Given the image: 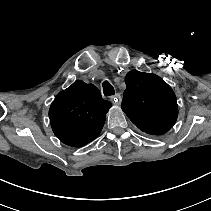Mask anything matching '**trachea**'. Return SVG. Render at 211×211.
I'll use <instances>...</instances> for the list:
<instances>
[{
    "label": "trachea",
    "instance_id": "1",
    "mask_svg": "<svg viewBox=\"0 0 211 211\" xmlns=\"http://www.w3.org/2000/svg\"><path fill=\"white\" fill-rule=\"evenodd\" d=\"M102 86H103V93L106 97L113 96L115 94L113 86L108 81H104Z\"/></svg>",
    "mask_w": 211,
    "mask_h": 211
}]
</instances>
